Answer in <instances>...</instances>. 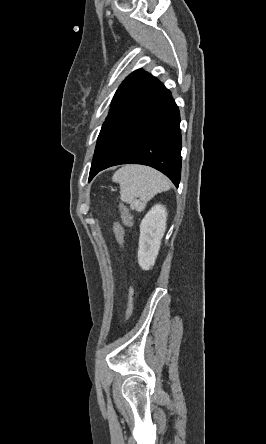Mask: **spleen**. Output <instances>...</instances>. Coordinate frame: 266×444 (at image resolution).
<instances>
[{"label": "spleen", "instance_id": "1", "mask_svg": "<svg viewBox=\"0 0 266 444\" xmlns=\"http://www.w3.org/2000/svg\"><path fill=\"white\" fill-rule=\"evenodd\" d=\"M112 179L120 185V199L138 212L143 211L147 202L157 193L170 188L166 176L141 165H126L117 170Z\"/></svg>", "mask_w": 266, "mask_h": 444}]
</instances>
